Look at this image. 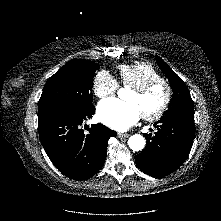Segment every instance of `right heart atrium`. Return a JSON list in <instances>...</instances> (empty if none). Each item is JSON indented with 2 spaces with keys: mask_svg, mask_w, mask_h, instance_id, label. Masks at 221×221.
Returning <instances> with one entry per match:
<instances>
[{
  "mask_svg": "<svg viewBox=\"0 0 221 221\" xmlns=\"http://www.w3.org/2000/svg\"><path fill=\"white\" fill-rule=\"evenodd\" d=\"M119 88L118 80L106 70L99 71L93 80V92L99 98L111 96Z\"/></svg>",
  "mask_w": 221,
  "mask_h": 221,
  "instance_id": "obj_1",
  "label": "right heart atrium"
}]
</instances>
